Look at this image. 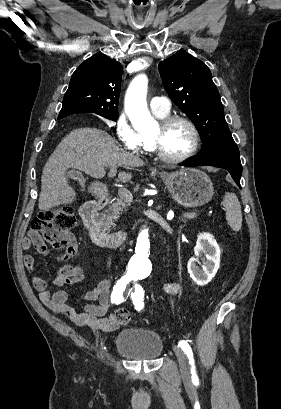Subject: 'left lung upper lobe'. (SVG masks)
<instances>
[{"instance_id":"5c2ea615","label":"left lung upper lobe","mask_w":281,"mask_h":409,"mask_svg":"<svg viewBox=\"0 0 281 409\" xmlns=\"http://www.w3.org/2000/svg\"><path fill=\"white\" fill-rule=\"evenodd\" d=\"M158 67L170 98L200 134L203 145L198 155H239L209 68L185 51L161 61Z\"/></svg>"}]
</instances>
